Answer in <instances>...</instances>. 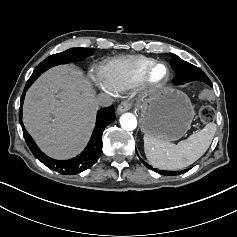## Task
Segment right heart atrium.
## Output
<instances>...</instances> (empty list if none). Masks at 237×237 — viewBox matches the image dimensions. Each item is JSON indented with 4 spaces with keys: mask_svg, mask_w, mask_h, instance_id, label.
<instances>
[{
    "mask_svg": "<svg viewBox=\"0 0 237 237\" xmlns=\"http://www.w3.org/2000/svg\"><path fill=\"white\" fill-rule=\"evenodd\" d=\"M91 82L94 86L100 91L106 93H114L115 88L111 84V82L102 74L100 71H93L89 75Z\"/></svg>",
    "mask_w": 237,
    "mask_h": 237,
    "instance_id": "right-heart-atrium-1",
    "label": "right heart atrium"
}]
</instances>
